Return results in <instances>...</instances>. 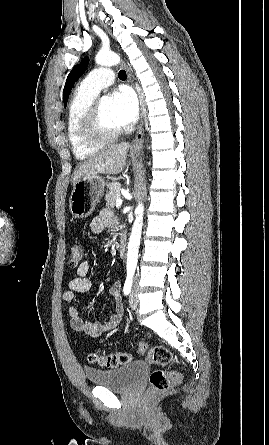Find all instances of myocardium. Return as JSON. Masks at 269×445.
I'll return each mask as SVG.
<instances>
[{
    "mask_svg": "<svg viewBox=\"0 0 269 445\" xmlns=\"http://www.w3.org/2000/svg\"><path fill=\"white\" fill-rule=\"evenodd\" d=\"M99 106V102L94 101L80 121V134L90 144H105L114 141L124 132L121 128L111 129L103 124Z\"/></svg>",
    "mask_w": 269,
    "mask_h": 445,
    "instance_id": "f54148a6",
    "label": "myocardium"
}]
</instances>
